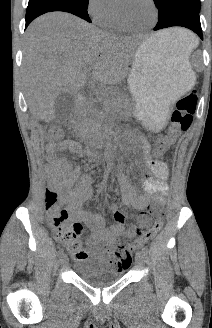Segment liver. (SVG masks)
Returning a JSON list of instances; mask_svg holds the SVG:
<instances>
[{
  "label": "liver",
  "instance_id": "1",
  "mask_svg": "<svg viewBox=\"0 0 212 328\" xmlns=\"http://www.w3.org/2000/svg\"><path fill=\"white\" fill-rule=\"evenodd\" d=\"M181 32L168 29L150 38L175 42ZM136 43L116 37L64 12H51L27 28L23 81L32 115L40 121L55 119L54 104L60 93L77 94L88 82L106 89L123 81L130 71ZM87 67L92 73L88 75Z\"/></svg>",
  "mask_w": 212,
  "mask_h": 328
}]
</instances>
